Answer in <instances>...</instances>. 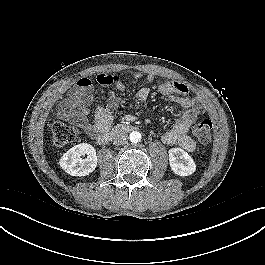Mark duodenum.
<instances>
[{
	"label": "duodenum",
	"instance_id": "410a0bca",
	"mask_svg": "<svg viewBox=\"0 0 265 265\" xmlns=\"http://www.w3.org/2000/svg\"><path fill=\"white\" fill-rule=\"evenodd\" d=\"M136 129L137 127L135 125L123 123V124H118L115 127L112 128L108 127L103 131L97 132L93 135V137L96 139V141L99 144L104 145L109 141H111L116 136L123 133L133 132Z\"/></svg>",
	"mask_w": 265,
	"mask_h": 265
}]
</instances>
